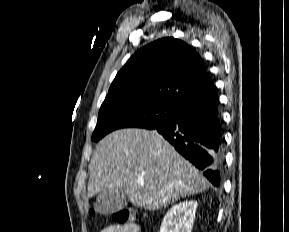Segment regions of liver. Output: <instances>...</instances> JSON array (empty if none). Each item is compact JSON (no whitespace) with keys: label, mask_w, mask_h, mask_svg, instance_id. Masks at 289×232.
Wrapping results in <instances>:
<instances>
[{"label":"liver","mask_w":289,"mask_h":232,"mask_svg":"<svg viewBox=\"0 0 289 232\" xmlns=\"http://www.w3.org/2000/svg\"><path fill=\"white\" fill-rule=\"evenodd\" d=\"M89 172L88 198L120 188L132 205L150 211L209 187L202 173L155 130L110 133L97 144Z\"/></svg>","instance_id":"1"}]
</instances>
